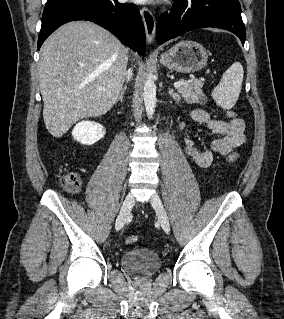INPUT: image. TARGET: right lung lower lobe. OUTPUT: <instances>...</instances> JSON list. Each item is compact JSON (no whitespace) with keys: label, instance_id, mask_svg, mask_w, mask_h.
Wrapping results in <instances>:
<instances>
[{"label":"right lung lower lobe","instance_id":"right-lung-lower-lobe-1","mask_svg":"<svg viewBox=\"0 0 284 319\" xmlns=\"http://www.w3.org/2000/svg\"><path fill=\"white\" fill-rule=\"evenodd\" d=\"M76 20L92 21L141 55L145 53V30L138 8L133 4H120L117 0H47L38 50L58 27Z\"/></svg>","mask_w":284,"mask_h":319}]
</instances>
